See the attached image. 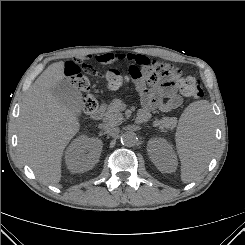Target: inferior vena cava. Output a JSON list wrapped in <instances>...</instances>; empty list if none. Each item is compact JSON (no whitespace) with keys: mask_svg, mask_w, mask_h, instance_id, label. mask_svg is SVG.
Returning <instances> with one entry per match:
<instances>
[{"mask_svg":"<svg viewBox=\"0 0 245 245\" xmlns=\"http://www.w3.org/2000/svg\"><path fill=\"white\" fill-rule=\"evenodd\" d=\"M104 128L108 133H112V134L119 133V128L115 127L114 125H106Z\"/></svg>","mask_w":245,"mask_h":245,"instance_id":"inferior-vena-cava-1","label":"inferior vena cava"}]
</instances>
